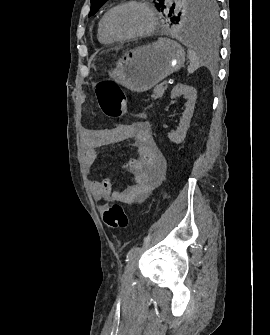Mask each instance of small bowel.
Returning a JSON list of instances; mask_svg holds the SVG:
<instances>
[{"mask_svg":"<svg viewBox=\"0 0 270 335\" xmlns=\"http://www.w3.org/2000/svg\"><path fill=\"white\" fill-rule=\"evenodd\" d=\"M121 140L133 139L137 157L129 159L123 168L130 174L131 183L121 191H113V178L91 180L89 183L95 199L115 201L133 205L146 199L164 178L166 163L152 138L151 126L147 121H137L118 129ZM105 132L86 129L84 160L92 166L97 160V150L102 145Z\"/></svg>","mask_w":270,"mask_h":335,"instance_id":"1","label":"small bowel"}]
</instances>
